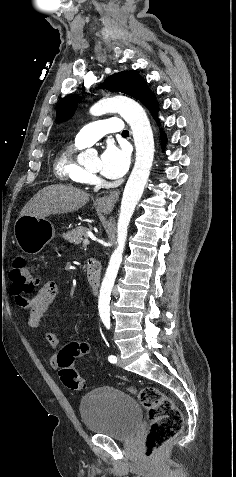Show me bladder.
I'll list each match as a JSON object with an SVG mask.
<instances>
[{"mask_svg": "<svg viewBox=\"0 0 236 477\" xmlns=\"http://www.w3.org/2000/svg\"><path fill=\"white\" fill-rule=\"evenodd\" d=\"M79 411L89 433L119 440L132 439L142 421L138 402L111 386L89 392L80 402Z\"/></svg>", "mask_w": 236, "mask_h": 477, "instance_id": "1", "label": "bladder"}]
</instances>
